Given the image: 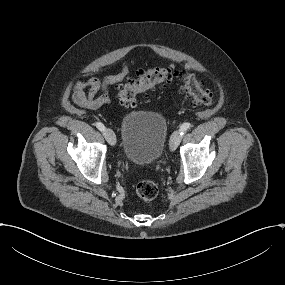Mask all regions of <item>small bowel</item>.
<instances>
[{"label":"small bowel","instance_id":"small-bowel-1","mask_svg":"<svg viewBox=\"0 0 285 285\" xmlns=\"http://www.w3.org/2000/svg\"><path fill=\"white\" fill-rule=\"evenodd\" d=\"M129 75V66L123 63L118 73L100 75L98 72H86L84 80L75 82L71 87V99L81 108L96 110L108 105L111 101L110 87L125 80ZM101 91L102 94L97 96Z\"/></svg>","mask_w":285,"mask_h":285}]
</instances>
